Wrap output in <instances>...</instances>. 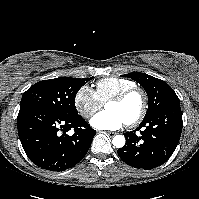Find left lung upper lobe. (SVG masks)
<instances>
[{
	"instance_id": "obj_1",
	"label": "left lung upper lobe",
	"mask_w": 199,
	"mask_h": 199,
	"mask_svg": "<svg viewBox=\"0 0 199 199\" xmlns=\"http://www.w3.org/2000/svg\"><path fill=\"white\" fill-rule=\"evenodd\" d=\"M142 85L148 95V110L144 118L151 117L153 114L169 106L180 105V100L171 87L166 82L145 73L133 72L122 75Z\"/></svg>"
}]
</instances>
